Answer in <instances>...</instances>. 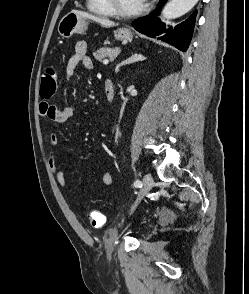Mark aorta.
Here are the masks:
<instances>
[{
  "label": "aorta",
  "mask_w": 249,
  "mask_h": 294,
  "mask_svg": "<svg viewBox=\"0 0 249 294\" xmlns=\"http://www.w3.org/2000/svg\"><path fill=\"white\" fill-rule=\"evenodd\" d=\"M198 2V0H170L162 10L165 19H175L185 15Z\"/></svg>",
  "instance_id": "obj_1"
}]
</instances>
